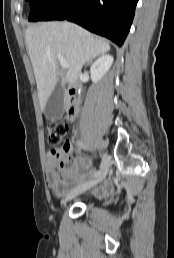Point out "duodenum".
Segmentation results:
<instances>
[{
    "instance_id": "1",
    "label": "duodenum",
    "mask_w": 174,
    "mask_h": 258,
    "mask_svg": "<svg viewBox=\"0 0 174 258\" xmlns=\"http://www.w3.org/2000/svg\"><path fill=\"white\" fill-rule=\"evenodd\" d=\"M68 118L74 120L79 112V94L78 89L70 87L67 91Z\"/></svg>"
}]
</instances>
